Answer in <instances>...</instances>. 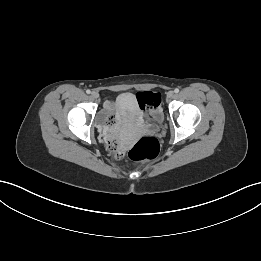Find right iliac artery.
<instances>
[{
  "mask_svg": "<svg viewBox=\"0 0 261 261\" xmlns=\"http://www.w3.org/2000/svg\"><path fill=\"white\" fill-rule=\"evenodd\" d=\"M86 93H87V94H90V93H91V91L88 89V90H86Z\"/></svg>",
  "mask_w": 261,
  "mask_h": 261,
  "instance_id": "82829eb1",
  "label": "right iliac artery"
}]
</instances>
